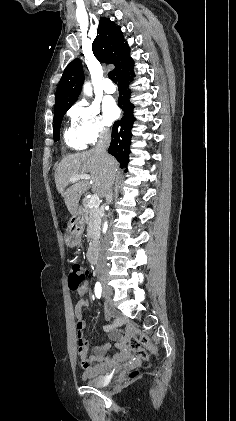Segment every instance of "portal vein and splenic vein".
Listing matches in <instances>:
<instances>
[{"mask_svg":"<svg viewBox=\"0 0 236 421\" xmlns=\"http://www.w3.org/2000/svg\"><path fill=\"white\" fill-rule=\"evenodd\" d=\"M79 178H87V180H90L91 176L90 174H76V176H71L70 180L71 182H76ZM98 204L99 196H97V194H92L91 198H89V206H98Z\"/></svg>","mask_w":236,"mask_h":421,"instance_id":"1","label":"portal vein and splenic vein"}]
</instances>
